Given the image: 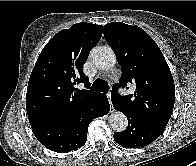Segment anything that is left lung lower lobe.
Segmentation results:
<instances>
[{
  "label": "left lung lower lobe",
  "instance_id": "obj_1",
  "mask_svg": "<svg viewBox=\"0 0 196 166\" xmlns=\"http://www.w3.org/2000/svg\"><path fill=\"white\" fill-rule=\"evenodd\" d=\"M118 111L123 112L114 106ZM125 113L128 119V126L123 132H114V140L116 143L125 148H138L146 146L157 139L165 130L159 125L142 121L136 116Z\"/></svg>",
  "mask_w": 196,
  "mask_h": 166
}]
</instances>
